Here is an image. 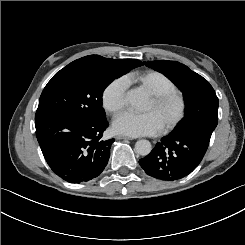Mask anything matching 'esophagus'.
<instances>
[{
	"label": "esophagus",
	"mask_w": 245,
	"mask_h": 245,
	"mask_svg": "<svg viewBox=\"0 0 245 245\" xmlns=\"http://www.w3.org/2000/svg\"><path fill=\"white\" fill-rule=\"evenodd\" d=\"M117 140H133V137H129V136H123V135H118L116 137Z\"/></svg>",
	"instance_id": "1"
}]
</instances>
